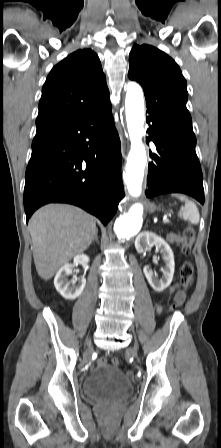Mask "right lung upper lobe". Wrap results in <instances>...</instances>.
I'll return each mask as SVG.
<instances>
[{
  "label": "right lung upper lobe",
  "mask_w": 221,
  "mask_h": 448,
  "mask_svg": "<svg viewBox=\"0 0 221 448\" xmlns=\"http://www.w3.org/2000/svg\"><path fill=\"white\" fill-rule=\"evenodd\" d=\"M108 100L106 77L97 54L91 49L77 50L53 67L43 85L36 134Z\"/></svg>",
  "instance_id": "obj_1"
}]
</instances>
